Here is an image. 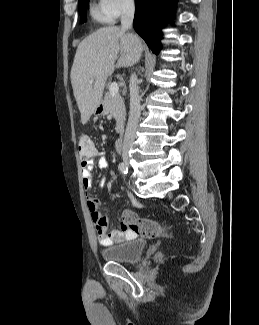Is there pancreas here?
Returning <instances> with one entry per match:
<instances>
[{"mask_svg":"<svg viewBox=\"0 0 259 325\" xmlns=\"http://www.w3.org/2000/svg\"><path fill=\"white\" fill-rule=\"evenodd\" d=\"M104 103L106 106V114H110L116 118V132L118 134H123L124 123L126 120V109L122 96L119 93L112 96L109 91L105 94Z\"/></svg>","mask_w":259,"mask_h":325,"instance_id":"pancreas-1","label":"pancreas"}]
</instances>
